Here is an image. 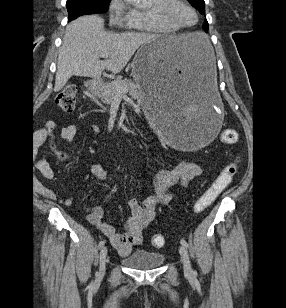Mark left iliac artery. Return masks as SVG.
Returning a JSON list of instances; mask_svg holds the SVG:
<instances>
[{"label": "left iliac artery", "mask_w": 286, "mask_h": 308, "mask_svg": "<svg viewBox=\"0 0 286 308\" xmlns=\"http://www.w3.org/2000/svg\"><path fill=\"white\" fill-rule=\"evenodd\" d=\"M181 244H182L183 246H185L186 248L189 247L188 243H187L186 240H184V239H181Z\"/></svg>", "instance_id": "1"}]
</instances>
